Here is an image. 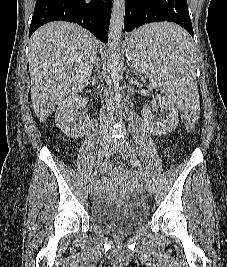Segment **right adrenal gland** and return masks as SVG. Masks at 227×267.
<instances>
[{
    "instance_id": "1",
    "label": "right adrenal gland",
    "mask_w": 227,
    "mask_h": 267,
    "mask_svg": "<svg viewBox=\"0 0 227 267\" xmlns=\"http://www.w3.org/2000/svg\"><path fill=\"white\" fill-rule=\"evenodd\" d=\"M97 71H98V70L96 69V70H95V73H96V74L94 75V77H92V78L90 79L89 84H92V85H93V84L95 83L96 78H97ZM98 72H99V71H98Z\"/></svg>"
}]
</instances>
